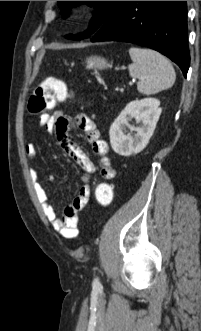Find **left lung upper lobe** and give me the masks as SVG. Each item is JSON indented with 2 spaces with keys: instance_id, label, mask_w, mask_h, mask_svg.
<instances>
[{
  "instance_id": "obj_1",
  "label": "left lung upper lobe",
  "mask_w": 201,
  "mask_h": 331,
  "mask_svg": "<svg viewBox=\"0 0 201 331\" xmlns=\"http://www.w3.org/2000/svg\"><path fill=\"white\" fill-rule=\"evenodd\" d=\"M119 2L120 1H58V5L64 13H66V10L70 9L72 6L79 5L80 3L94 5L97 9V13H95L91 20L89 29L85 33L79 35H68L66 38L81 40L95 33L114 12ZM65 16L66 15H64V17Z\"/></svg>"
}]
</instances>
